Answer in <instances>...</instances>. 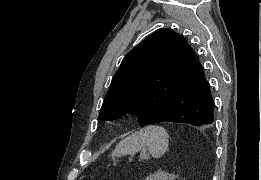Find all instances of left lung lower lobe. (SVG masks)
Returning a JSON list of instances; mask_svg holds the SVG:
<instances>
[{"instance_id": "1", "label": "left lung lower lobe", "mask_w": 261, "mask_h": 180, "mask_svg": "<svg viewBox=\"0 0 261 180\" xmlns=\"http://www.w3.org/2000/svg\"><path fill=\"white\" fill-rule=\"evenodd\" d=\"M214 106L203 67L197 63L153 123L179 122L198 127H211L214 124Z\"/></svg>"}]
</instances>
